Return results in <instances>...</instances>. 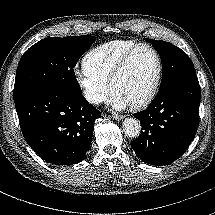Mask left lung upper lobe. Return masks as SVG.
Here are the masks:
<instances>
[{
  "instance_id": "5c2ea615",
  "label": "left lung upper lobe",
  "mask_w": 215,
  "mask_h": 215,
  "mask_svg": "<svg viewBox=\"0 0 215 215\" xmlns=\"http://www.w3.org/2000/svg\"><path fill=\"white\" fill-rule=\"evenodd\" d=\"M145 40L152 43L162 59L163 75L159 91L183 78L196 75L192 61L180 48L166 41Z\"/></svg>"
}]
</instances>
